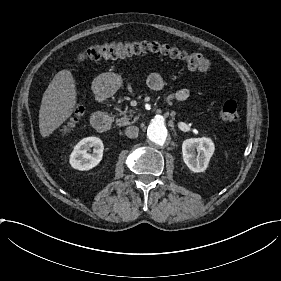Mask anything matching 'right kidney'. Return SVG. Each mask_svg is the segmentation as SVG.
<instances>
[{
	"instance_id": "ca27d5eb",
	"label": "right kidney",
	"mask_w": 281,
	"mask_h": 281,
	"mask_svg": "<svg viewBox=\"0 0 281 281\" xmlns=\"http://www.w3.org/2000/svg\"><path fill=\"white\" fill-rule=\"evenodd\" d=\"M93 148L92 153H88ZM104 145L97 137H87L82 139L74 147L70 155V164L74 169L90 170L97 166L102 160Z\"/></svg>"
}]
</instances>
